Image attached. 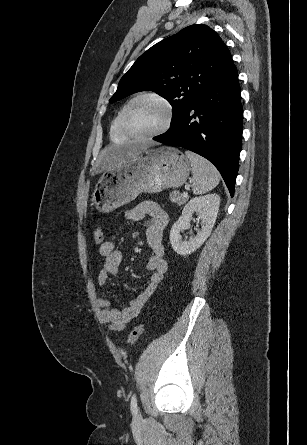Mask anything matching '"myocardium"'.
<instances>
[{"label":"myocardium","instance_id":"obj_1","mask_svg":"<svg viewBox=\"0 0 307 445\" xmlns=\"http://www.w3.org/2000/svg\"><path fill=\"white\" fill-rule=\"evenodd\" d=\"M148 99L154 100V101L160 103L165 109L166 117H165L163 124L158 129L151 131V132L140 133V132H137L131 124L130 111L134 104H136L139 101L148 100ZM174 117H175V111H174L173 105L167 98H165L164 96L157 94V93L147 92V93L138 95L137 97H135L128 103V105L125 109V112H124V127H125V130H126L128 136H130L132 138H135V139L150 138V139H152V138H157V137L163 135L164 133H166L170 129V127L174 121Z\"/></svg>","mask_w":307,"mask_h":445}]
</instances>
